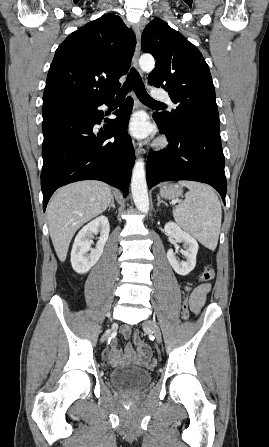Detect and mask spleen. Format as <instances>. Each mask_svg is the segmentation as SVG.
I'll return each instance as SVG.
<instances>
[{"label":"spleen","mask_w":269,"mask_h":447,"mask_svg":"<svg viewBox=\"0 0 269 447\" xmlns=\"http://www.w3.org/2000/svg\"><path fill=\"white\" fill-rule=\"evenodd\" d=\"M189 188L184 202L173 210L176 224L191 233L208 249H215L220 233L222 210L218 196L206 184L178 182Z\"/></svg>","instance_id":"spleen-1"}]
</instances>
